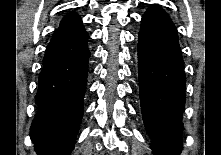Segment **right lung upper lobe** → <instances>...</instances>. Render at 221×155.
<instances>
[{
  "label": "right lung upper lobe",
  "instance_id": "right-lung-upper-lobe-1",
  "mask_svg": "<svg viewBox=\"0 0 221 155\" xmlns=\"http://www.w3.org/2000/svg\"><path fill=\"white\" fill-rule=\"evenodd\" d=\"M81 23V18L77 13L67 14L60 22L59 28L74 26Z\"/></svg>",
  "mask_w": 221,
  "mask_h": 155
}]
</instances>
